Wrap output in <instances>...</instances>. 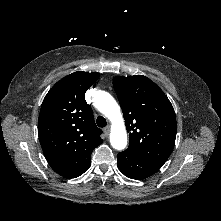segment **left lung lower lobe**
<instances>
[{
	"label": "left lung lower lobe",
	"instance_id": "0a47b994",
	"mask_svg": "<svg viewBox=\"0 0 221 221\" xmlns=\"http://www.w3.org/2000/svg\"><path fill=\"white\" fill-rule=\"evenodd\" d=\"M119 170L129 178L141 180L156 173L162 165L126 149L117 156Z\"/></svg>",
	"mask_w": 221,
	"mask_h": 221
}]
</instances>
